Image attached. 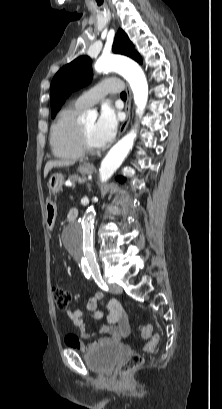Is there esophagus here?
Returning a JSON list of instances; mask_svg holds the SVG:
<instances>
[{
  "label": "esophagus",
  "instance_id": "34e87169",
  "mask_svg": "<svg viewBox=\"0 0 222 409\" xmlns=\"http://www.w3.org/2000/svg\"><path fill=\"white\" fill-rule=\"evenodd\" d=\"M126 93H127V99L125 103L126 118L120 126L118 137H120L125 132V130L127 129L129 125L130 119H131L132 92H131L130 87L127 85H126ZM87 165L89 166V164Z\"/></svg>",
  "mask_w": 222,
  "mask_h": 409
}]
</instances>
